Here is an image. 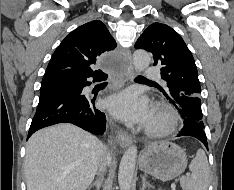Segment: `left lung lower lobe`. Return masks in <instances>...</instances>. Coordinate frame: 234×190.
Segmentation results:
<instances>
[{
    "label": "left lung lower lobe",
    "instance_id": "left-lung-lower-lobe-1",
    "mask_svg": "<svg viewBox=\"0 0 234 190\" xmlns=\"http://www.w3.org/2000/svg\"><path fill=\"white\" fill-rule=\"evenodd\" d=\"M184 119V127L177 136H191L200 140L208 149L207 138L204 132V124L180 114Z\"/></svg>",
    "mask_w": 234,
    "mask_h": 190
}]
</instances>
